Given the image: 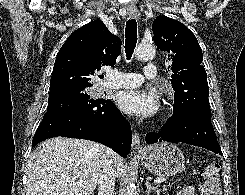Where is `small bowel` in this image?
<instances>
[{"instance_id":"small-bowel-1","label":"small bowel","mask_w":245,"mask_h":195,"mask_svg":"<svg viewBox=\"0 0 245 195\" xmlns=\"http://www.w3.org/2000/svg\"><path fill=\"white\" fill-rule=\"evenodd\" d=\"M198 192L193 187H184L180 191L177 192L176 195H198Z\"/></svg>"}]
</instances>
